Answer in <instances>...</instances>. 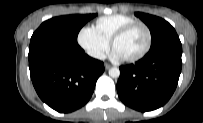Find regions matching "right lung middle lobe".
Wrapping results in <instances>:
<instances>
[{
    "label": "right lung middle lobe",
    "instance_id": "obj_1",
    "mask_svg": "<svg viewBox=\"0 0 203 123\" xmlns=\"http://www.w3.org/2000/svg\"><path fill=\"white\" fill-rule=\"evenodd\" d=\"M95 14L66 15L43 22L33 33L31 40L52 39L59 42L77 44V36L83 25Z\"/></svg>",
    "mask_w": 203,
    "mask_h": 123
}]
</instances>
